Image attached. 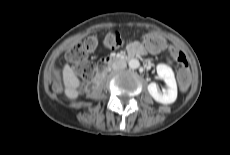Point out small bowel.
<instances>
[{"instance_id":"c3829d8e","label":"small bowel","mask_w":230,"mask_h":155,"mask_svg":"<svg viewBox=\"0 0 230 155\" xmlns=\"http://www.w3.org/2000/svg\"><path fill=\"white\" fill-rule=\"evenodd\" d=\"M161 47L153 46L145 41V45L139 42H132L128 46V51L135 52L136 54H145L146 52L158 53Z\"/></svg>"}]
</instances>
